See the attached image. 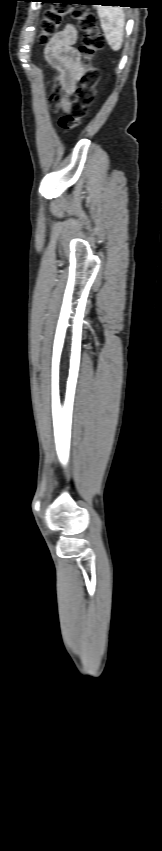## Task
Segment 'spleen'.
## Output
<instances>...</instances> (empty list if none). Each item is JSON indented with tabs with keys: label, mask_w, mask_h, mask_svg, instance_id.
<instances>
[{
	"label": "spleen",
	"mask_w": 162,
	"mask_h": 851,
	"mask_svg": "<svg viewBox=\"0 0 162 851\" xmlns=\"http://www.w3.org/2000/svg\"><path fill=\"white\" fill-rule=\"evenodd\" d=\"M101 27L111 49L118 51L123 43L125 14L120 7L97 6Z\"/></svg>",
	"instance_id": "3e777b00"
}]
</instances>
